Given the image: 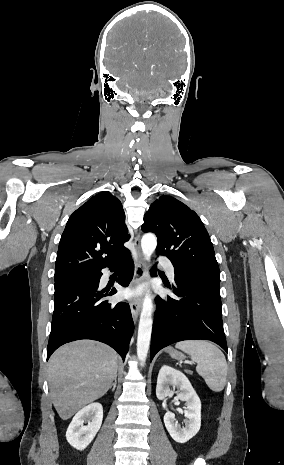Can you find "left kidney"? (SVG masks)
Here are the masks:
<instances>
[{
	"label": "left kidney",
	"mask_w": 284,
	"mask_h": 465,
	"mask_svg": "<svg viewBox=\"0 0 284 465\" xmlns=\"http://www.w3.org/2000/svg\"><path fill=\"white\" fill-rule=\"evenodd\" d=\"M170 385H177L179 391H181L176 399L186 401L185 407H183V409H186L184 411L186 419L184 421L185 427L181 429L180 425L175 423L174 413L168 411L164 415L165 427L176 443H187L189 439L197 435L201 427V401L190 381L181 371H176V369L164 365V367H161L157 379L156 395L159 401L173 395L174 391H170Z\"/></svg>",
	"instance_id": "1"
}]
</instances>
